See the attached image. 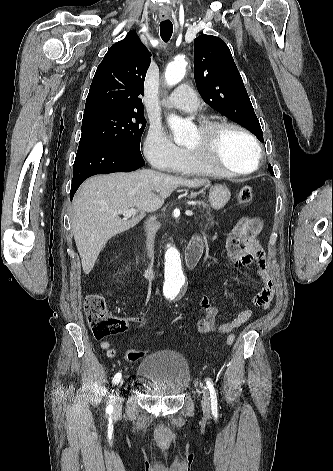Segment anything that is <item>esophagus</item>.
Returning a JSON list of instances; mask_svg holds the SVG:
<instances>
[{
    "mask_svg": "<svg viewBox=\"0 0 333 471\" xmlns=\"http://www.w3.org/2000/svg\"><path fill=\"white\" fill-rule=\"evenodd\" d=\"M160 19H161V20H166V19H168V16H166V15H160Z\"/></svg>",
    "mask_w": 333,
    "mask_h": 471,
    "instance_id": "esophagus-1",
    "label": "esophagus"
}]
</instances>
